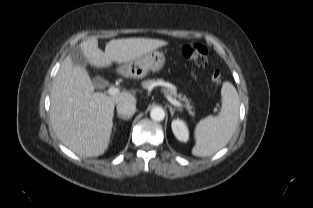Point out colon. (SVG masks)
<instances>
[{
    "label": "colon",
    "mask_w": 313,
    "mask_h": 208,
    "mask_svg": "<svg viewBox=\"0 0 313 208\" xmlns=\"http://www.w3.org/2000/svg\"><path fill=\"white\" fill-rule=\"evenodd\" d=\"M182 55L191 63L200 68H206L209 64L208 49L200 44H189L183 47ZM211 79L214 83L220 84L222 82L221 72L214 68L211 70Z\"/></svg>",
    "instance_id": "obj_1"
}]
</instances>
